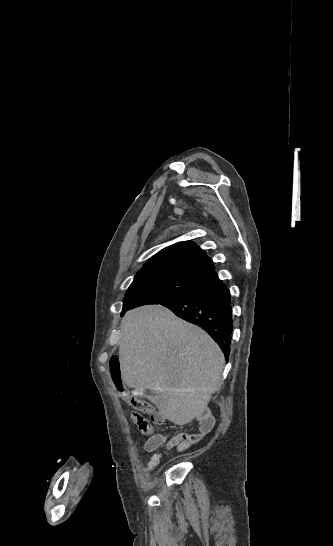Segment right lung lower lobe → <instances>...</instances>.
I'll use <instances>...</instances> for the list:
<instances>
[{"instance_id": "98d812e1", "label": "right lung lower lobe", "mask_w": 333, "mask_h": 546, "mask_svg": "<svg viewBox=\"0 0 333 546\" xmlns=\"http://www.w3.org/2000/svg\"><path fill=\"white\" fill-rule=\"evenodd\" d=\"M159 304L203 328L228 359L233 330L231 299L216 272L208 274L194 290Z\"/></svg>"}]
</instances>
